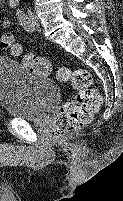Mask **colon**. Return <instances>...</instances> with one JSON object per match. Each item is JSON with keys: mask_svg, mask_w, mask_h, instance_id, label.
<instances>
[{"mask_svg": "<svg viewBox=\"0 0 123 201\" xmlns=\"http://www.w3.org/2000/svg\"><path fill=\"white\" fill-rule=\"evenodd\" d=\"M2 47L14 55L21 53V48L11 35L3 39ZM24 62L28 69L36 74L53 73L51 62L42 56L30 54L25 56ZM56 76L62 82H69L77 90L76 98L61 107L53 122L52 137L61 139L87 126L92 121L93 115L100 109L102 98L99 91L93 87L91 74L86 69L71 71L60 68L56 71Z\"/></svg>", "mask_w": 123, "mask_h": 201, "instance_id": "1", "label": "colon"}]
</instances>
